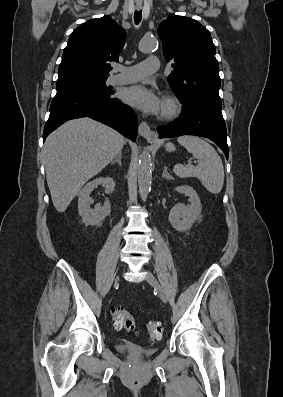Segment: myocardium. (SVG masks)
<instances>
[{"mask_svg":"<svg viewBox=\"0 0 283 397\" xmlns=\"http://www.w3.org/2000/svg\"><path fill=\"white\" fill-rule=\"evenodd\" d=\"M181 112V103L179 100L171 95H167L163 99V107L161 112V119L170 120L177 117Z\"/></svg>","mask_w":283,"mask_h":397,"instance_id":"obj_1","label":"myocardium"}]
</instances>
